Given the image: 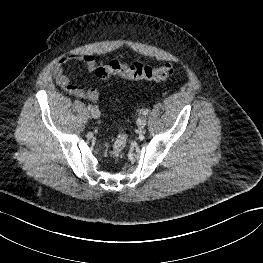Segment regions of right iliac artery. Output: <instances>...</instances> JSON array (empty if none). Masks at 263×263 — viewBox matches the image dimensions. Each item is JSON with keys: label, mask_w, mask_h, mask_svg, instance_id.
<instances>
[{"label": "right iliac artery", "mask_w": 263, "mask_h": 263, "mask_svg": "<svg viewBox=\"0 0 263 263\" xmlns=\"http://www.w3.org/2000/svg\"><path fill=\"white\" fill-rule=\"evenodd\" d=\"M87 108H88V110H93V106H92V105H90V104L88 105V107H87Z\"/></svg>", "instance_id": "1"}]
</instances>
